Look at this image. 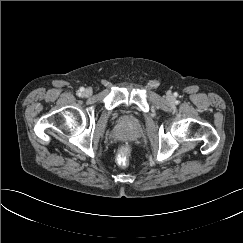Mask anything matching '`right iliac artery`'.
I'll use <instances>...</instances> for the list:
<instances>
[{"mask_svg":"<svg viewBox=\"0 0 243 243\" xmlns=\"http://www.w3.org/2000/svg\"><path fill=\"white\" fill-rule=\"evenodd\" d=\"M83 91H84V89L83 88H80L79 94L82 93Z\"/></svg>","mask_w":243,"mask_h":243,"instance_id":"82829eb1","label":"right iliac artery"}]
</instances>
